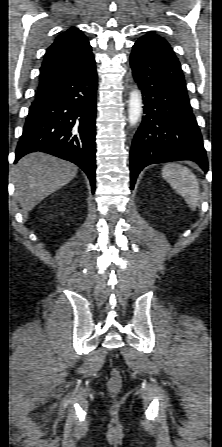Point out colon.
Instances as JSON below:
<instances>
[{"label": "colon", "mask_w": 222, "mask_h": 447, "mask_svg": "<svg viewBox=\"0 0 222 447\" xmlns=\"http://www.w3.org/2000/svg\"><path fill=\"white\" fill-rule=\"evenodd\" d=\"M122 384H123V378L120 372L116 370L112 371L111 376L107 383L109 393L113 395L117 394L120 391Z\"/></svg>", "instance_id": "colon-1"}]
</instances>
